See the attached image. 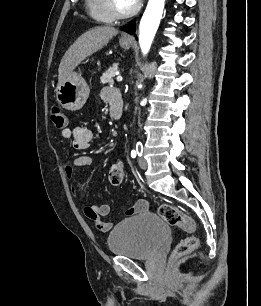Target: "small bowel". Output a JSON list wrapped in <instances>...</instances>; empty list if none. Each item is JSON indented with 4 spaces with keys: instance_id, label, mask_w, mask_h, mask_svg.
Listing matches in <instances>:
<instances>
[{
    "instance_id": "obj_1",
    "label": "small bowel",
    "mask_w": 261,
    "mask_h": 306,
    "mask_svg": "<svg viewBox=\"0 0 261 306\" xmlns=\"http://www.w3.org/2000/svg\"><path fill=\"white\" fill-rule=\"evenodd\" d=\"M102 97L111 103L120 102V94L111 88H105L102 91ZM62 138L65 140H72L73 147L77 150L88 149L93 140V132L89 128L78 126L73 129H65L61 133ZM92 163V158L87 155L77 156L71 159L65 165V174L68 178H72L74 169L78 167H88ZM76 193V189H74ZM148 204L145 200H139L132 208L127 211V215H133L145 211ZM83 212L89 220L95 223L96 227L103 232L109 231L113 224L111 222L103 221L101 218L108 216L111 212L109 204L84 206Z\"/></svg>"
}]
</instances>
